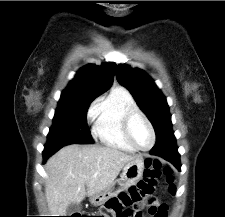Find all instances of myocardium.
Here are the masks:
<instances>
[{
  "label": "myocardium",
  "instance_id": "obj_1",
  "mask_svg": "<svg viewBox=\"0 0 225 217\" xmlns=\"http://www.w3.org/2000/svg\"><path fill=\"white\" fill-rule=\"evenodd\" d=\"M136 117L142 118L147 126L149 127V130L152 135V142L149 147L142 148L136 144V142L133 139L132 136V122ZM123 134L127 142L137 151H149L153 148L156 142V132L154 129L153 124L151 123L150 119L139 109V108H133L126 112V114L123 117Z\"/></svg>",
  "mask_w": 225,
  "mask_h": 217
}]
</instances>
